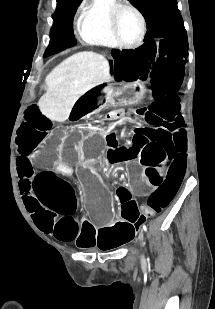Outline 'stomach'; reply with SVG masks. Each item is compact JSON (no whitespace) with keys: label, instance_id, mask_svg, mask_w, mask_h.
I'll use <instances>...</instances> for the list:
<instances>
[{"label":"stomach","instance_id":"stomach-1","mask_svg":"<svg viewBox=\"0 0 215 309\" xmlns=\"http://www.w3.org/2000/svg\"><path fill=\"white\" fill-rule=\"evenodd\" d=\"M144 90V85L142 83H136L131 85L129 88L125 89L121 94L126 98H134L137 95L141 94Z\"/></svg>","mask_w":215,"mask_h":309}]
</instances>
